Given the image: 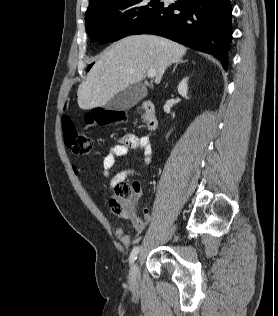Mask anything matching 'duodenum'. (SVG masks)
I'll return each mask as SVG.
<instances>
[{"instance_id": "duodenum-1", "label": "duodenum", "mask_w": 278, "mask_h": 316, "mask_svg": "<svg viewBox=\"0 0 278 316\" xmlns=\"http://www.w3.org/2000/svg\"><path fill=\"white\" fill-rule=\"evenodd\" d=\"M141 107L144 112L146 127L151 131L156 130L158 127V118L154 104L149 100H145L142 102Z\"/></svg>"}]
</instances>
